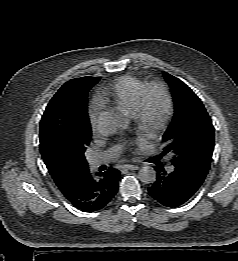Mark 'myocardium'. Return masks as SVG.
<instances>
[{"label":"myocardium","instance_id":"myocardium-1","mask_svg":"<svg viewBox=\"0 0 238 261\" xmlns=\"http://www.w3.org/2000/svg\"><path fill=\"white\" fill-rule=\"evenodd\" d=\"M159 91L164 100V109L159 120L149 124V97L153 91ZM173 114V98L167 84L162 80H152L145 84L138 98V103L132 117L141 130L154 138L161 134L168 126Z\"/></svg>","mask_w":238,"mask_h":261}]
</instances>
